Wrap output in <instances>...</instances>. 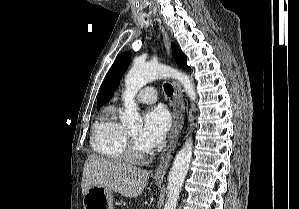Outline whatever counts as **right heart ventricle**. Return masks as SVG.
Segmentation results:
<instances>
[{
    "mask_svg": "<svg viewBox=\"0 0 299 209\" xmlns=\"http://www.w3.org/2000/svg\"><path fill=\"white\" fill-rule=\"evenodd\" d=\"M116 109L110 107L92 128L91 145L95 152L112 160H126V131L117 121Z\"/></svg>",
    "mask_w": 299,
    "mask_h": 209,
    "instance_id": "right-heart-ventricle-1",
    "label": "right heart ventricle"
}]
</instances>
